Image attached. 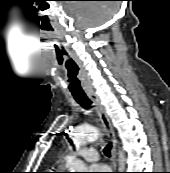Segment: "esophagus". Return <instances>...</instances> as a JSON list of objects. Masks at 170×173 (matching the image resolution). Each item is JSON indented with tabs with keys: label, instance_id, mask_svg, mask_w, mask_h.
Listing matches in <instances>:
<instances>
[{
	"label": "esophagus",
	"instance_id": "obj_1",
	"mask_svg": "<svg viewBox=\"0 0 170 173\" xmlns=\"http://www.w3.org/2000/svg\"><path fill=\"white\" fill-rule=\"evenodd\" d=\"M87 96L89 99L94 103L96 107V111L100 117V120L103 124V127L107 133V136L112 144L111 148V161H112V167L113 169L116 168V138L114 134V130L110 121V118L104 108V106L101 104L100 99L96 95L95 92H87Z\"/></svg>",
	"mask_w": 170,
	"mask_h": 173
}]
</instances>
